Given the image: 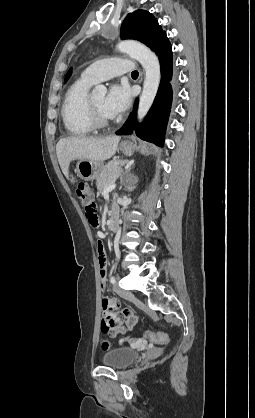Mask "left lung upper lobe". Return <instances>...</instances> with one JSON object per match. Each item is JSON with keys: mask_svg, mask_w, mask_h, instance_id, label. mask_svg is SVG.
Returning <instances> with one entry per match:
<instances>
[{"mask_svg": "<svg viewBox=\"0 0 255 418\" xmlns=\"http://www.w3.org/2000/svg\"><path fill=\"white\" fill-rule=\"evenodd\" d=\"M121 39H134L144 43L153 52L168 40L154 16L145 10H137L125 18L121 27Z\"/></svg>", "mask_w": 255, "mask_h": 418, "instance_id": "1", "label": "left lung upper lobe"}]
</instances>
